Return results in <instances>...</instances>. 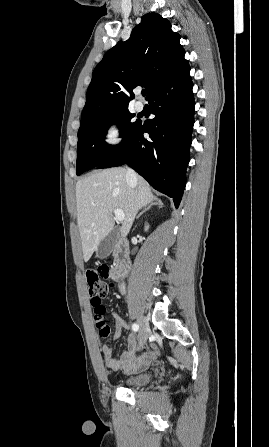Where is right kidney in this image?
Here are the masks:
<instances>
[{
    "label": "right kidney",
    "mask_w": 269,
    "mask_h": 447,
    "mask_svg": "<svg viewBox=\"0 0 269 447\" xmlns=\"http://www.w3.org/2000/svg\"><path fill=\"white\" fill-rule=\"evenodd\" d=\"M147 229H149V224H145V231H147Z\"/></svg>",
    "instance_id": "1"
}]
</instances>
